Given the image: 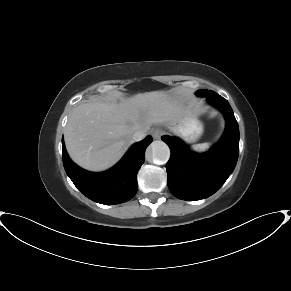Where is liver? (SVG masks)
<instances>
[{"mask_svg":"<svg viewBox=\"0 0 291 291\" xmlns=\"http://www.w3.org/2000/svg\"><path fill=\"white\" fill-rule=\"evenodd\" d=\"M182 112L180 100L164 91L139 93L120 102L94 101L73 109L64 132L71 159L90 171L112 167L133 144L136 131L169 124Z\"/></svg>","mask_w":291,"mask_h":291,"instance_id":"1","label":"liver"}]
</instances>
